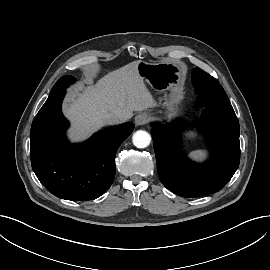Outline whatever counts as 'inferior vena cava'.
I'll list each match as a JSON object with an SVG mask.
<instances>
[{
	"label": "inferior vena cava",
	"instance_id": "obj_1",
	"mask_svg": "<svg viewBox=\"0 0 270 270\" xmlns=\"http://www.w3.org/2000/svg\"><path fill=\"white\" fill-rule=\"evenodd\" d=\"M128 120L127 115L121 113H112L107 117V122L109 124H121Z\"/></svg>",
	"mask_w": 270,
	"mask_h": 270
}]
</instances>
